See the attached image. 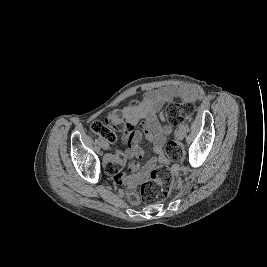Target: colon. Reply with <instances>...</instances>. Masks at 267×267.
<instances>
[{"label":"colon","instance_id":"1","mask_svg":"<svg viewBox=\"0 0 267 267\" xmlns=\"http://www.w3.org/2000/svg\"><path fill=\"white\" fill-rule=\"evenodd\" d=\"M192 98H186L182 103H172L168 106L165 116L172 124H183L190 119L192 109ZM106 126L116 128L120 131L126 130V123L123 117L117 113H112L105 120ZM169 157L175 162L181 161L184 157V147L178 141L171 142L169 147ZM174 187V181L168 172L163 174L157 171L151 172L149 182L142 186L140 196L137 192L131 191L130 197H139L144 200H165L169 197Z\"/></svg>","mask_w":267,"mask_h":267}]
</instances>
